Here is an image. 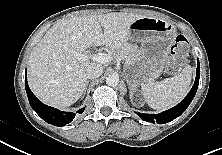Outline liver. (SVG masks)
Listing matches in <instances>:
<instances>
[{
  "label": "liver",
  "instance_id": "1",
  "mask_svg": "<svg viewBox=\"0 0 222 155\" xmlns=\"http://www.w3.org/2000/svg\"><path fill=\"white\" fill-rule=\"evenodd\" d=\"M142 17L112 12L56 23L31 52L28 83L32 92L42 102L57 108L75 103L86 88L85 71L92 64L79 59V54L89 46H105L112 52L127 50L130 26Z\"/></svg>",
  "mask_w": 222,
  "mask_h": 155
}]
</instances>
